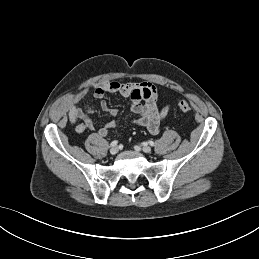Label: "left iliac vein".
I'll return each mask as SVG.
<instances>
[{"instance_id": "1", "label": "left iliac vein", "mask_w": 259, "mask_h": 259, "mask_svg": "<svg viewBox=\"0 0 259 259\" xmlns=\"http://www.w3.org/2000/svg\"><path fill=\"white\" fill-rule=\"evenodd\" d=\"M142 150H143V152H145V153H150V152H151V147L148 146V145H144V146L142 147Z\"/></svg>"}]
</instances>
